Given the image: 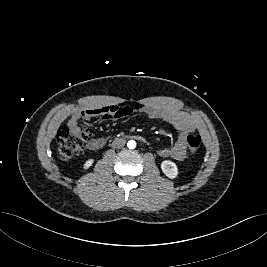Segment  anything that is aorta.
<instances>
[{
  "mask_svg": "<svg viewBox=\"0 0 267 267\" xmlns=\"http://www.w3.org/2000/svg\"><path fill=\"white\" fill-rule=\"evenodd\" d=\"M129 149H134L136 147V142L134 140H130L127 143Z\"/></svg>",
  "mask_w": 267,
  "mask_h": 267,
  "instance_id": "obj_1",
  "label": "aorta"
}]
</instances>
